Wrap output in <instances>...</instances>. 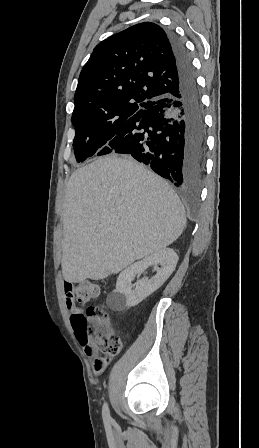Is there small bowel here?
<instances>
[{
    "instance_id": "c3829d8e",
    "label": "small bowel",
    "mask_w": 259,
    "mask_h": 448,
    "mask_svg": "<svg viewBox=\"0 0 259 448\" xmlns=\"http://www.w3.org/2000/svg\"><path fill=\"white\" fill-rule=\"evenodd\" d=\"M63 287L66 305L71 313V317L77 314H82L83 310L77 307L74 301L73 285L70 282H64ZM84 352L89 359L93 360V373L95 375H99L107 369L110 363V358L100 356L96 346H94L93 344L85 345Z\"/></svg>"
}]
</instances>
